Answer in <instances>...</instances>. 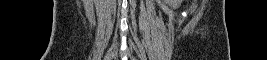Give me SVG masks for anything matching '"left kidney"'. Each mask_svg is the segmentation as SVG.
I'll use <instances>...</instances> for the list:
<instances>
[{
    "label": "left kidney",
    "mask_w": 267,
    "mask_h": 60,
    "mask_svg": "<svg viewBox=\"0 0 267 60\" xmlns=\"http://www.w3.org/2000/svg\"><path fill=\"white\" fill-rule=\"evenodd\" d=\"M166 3L173 8H177L180 5V1L177 0H166Z\"/></svg>",
    "instance_id": "5707ae66"
}]
</instances>
